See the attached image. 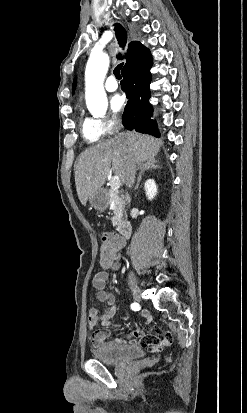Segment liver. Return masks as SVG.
<instances>
[{
	"mask_svg": "<svg viewBox=\"0 0 247 413\" xmlns=\"http://www.w3.org/2000/svg\"><path fill=\"white\" fill-rule=\"evenodd\" d=\"M163 142L159 138L140 134L135 130L124 132V138H106L94 146L85 148L75 164V184L78 198L84 207L95 190H99L112 170L125 182L127 160L131 158L137 166L151 160ZM129 146V148H128Z\"/></svg>",
	"mask_w": 247,
	"mask_h": 413,
	"instance_id": "1",
	"label": "liver"
}]
</instances>
